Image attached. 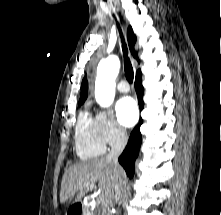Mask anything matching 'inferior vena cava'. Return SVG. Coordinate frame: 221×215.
<instances>
[{"label":"inferior vena cava","mask_w":221,"mask_h":215,"mask_svg":"<svg viewBox=\"0 0 221 215\" xmlns=\"http://www.w3.org/2000/svg\"><path fill=\"white\" fill-rule=\"evenodd\" d=\"M128 141V136L125 130L119 129L117 133V138L115 143L111 146V151L106 156V160L112 163L114 168V173L118 177V157L124 150ZM123 192V184L120 180H117L116 185L114 187V198L113 200L106 201L104 206V213L105 215H112V207L115 203H117L121 197Z\"/></svg>","instance_id":"1"}]
</instances>
